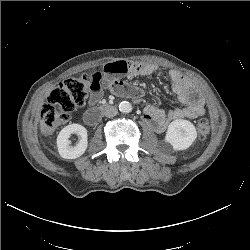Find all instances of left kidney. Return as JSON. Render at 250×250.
I'll list each match as a JSON object with an SVG mask.
<instances>
[{"label":"left kidney","mask_w":250,"mask_h":250,"mask_svg":"<svg viewBox=\"0 0 250 250\" xmlns=\"http://www.w3.org/2000/svg\"><path fill=\"white\" fill-rule=\"evenodd\" d=\"M197 138L195 126L188 120L172 121L167 129L165 140L174 150L181 151L189 148Z\"/></svg>","instance_id":"obj_1"}]
</instances>
